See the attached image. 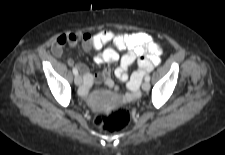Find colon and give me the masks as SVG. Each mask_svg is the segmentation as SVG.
<instances>
[{"instance_id":"5ec220e1","label":"colon","mask_w":225,"mask_h":155,"mask_svg":"<svg viewBox=\"0 0 225 155\" xmlns=\"http://www.w3.org/2000/svg\"><path fill=\"white\" fill-rule=\"evenodd\" d=\"M131 122V113L124 108H118L107 114L99 115L95 118V124L107 133L121 132Z\"/></svg>"}]
</instances>
